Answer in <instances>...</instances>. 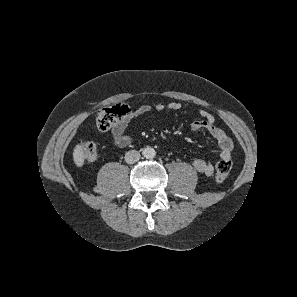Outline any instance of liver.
I'll use <instances>...</instances> for the list:
<instances>
[{
	"mask_svg": "<svg viewBox=\"0 0 297 297\" xmlns=\"http://www.w3.org/2000/svg\"><path fill=\"white\" fill-rule=\"evenodd\" d=\"M85 155L83 148L80 144H77L73 151V160L78 167H81L84 163Z\"/></svg>",
	"mask_w": 297,
	"mask_h": 297,
	"instance_id": "liver-1",
	"label": "liver"
}]
</instances>
